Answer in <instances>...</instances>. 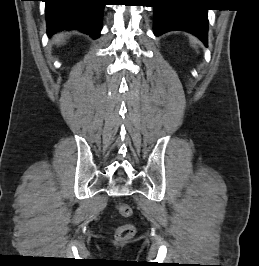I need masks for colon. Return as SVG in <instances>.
Wrapping results in <instances>:
<instances>
[{
	"mask_svg": "<svg viewBox=\"0 0 259 266\" xmlns=\"http://www.w3.org/2000/svg\"><path fill=\"white\" fill-rule=\"evenodd\" d=\"M117 212L122 217H129L132 214L131 207L126 203H119L116 206ZM135 234V228L132 224H123L117 227L115 235L118 240L125 241L132 238Z\"/></svg>",
	"mask_w": 259,
	"mask_h": 266,
	"instance_id": "obj_1",
	"label": "colon"
}]
</instances>
